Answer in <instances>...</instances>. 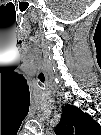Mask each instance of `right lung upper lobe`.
I'll return each instance as SVG.
<instances>
[{
	"label": "right lung upper lobe",
	"instance_id": "cb5924a9",
	"mask_svg": "<svg viewBox=\"0 0 101 135\" xmlns=\"http://www.w3.org/2000/svg\"><path fill=\"white\" fill-rule=\"evenodd\" d=\"M60 123L55 132L58 135H98L99 124L89 114L71 105L63 107Z\"/></svg>",
	"mask_w": 101,
	"mask_h": 135
}]
</instances>
